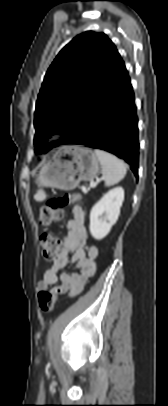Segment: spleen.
<instances>
[{
    "label": "spleen",
    "mask_w": 168,
    "mask_h": 406,
    "mask_svg": "<svg viewBox=\"0 0 168 406\" xmlns=\"http://www.w3.org/2000/svg\"><path fill=\"white\" fill-rule=\"evenodd\" d=\"M95 154L101 164L105 186L117 184L125 177L127 172L126 166L120 159L99 149L95 150ZM38 195L43 196L44 193L39 192Z\"/></svg>",
    "instance_id": "1"
}]
</instances>
